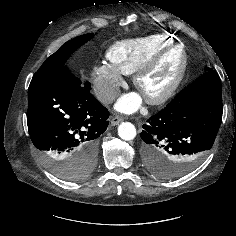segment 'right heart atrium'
<instances>
[{
	"label": "right heart atrium",
	"mask_w": 236,
	"mask_h": 236,
	"mask_svg": "<svg viewBox=\"0 0 236 236\" xmlns=\"http://www.w3.org/2000/svg\"><path fill=\"white\" fill-rule=\"evenodd\" d=\"M91 81L96 97L103 104H110L119 94L123 78L109 63L93 67Z\"/></svg>",
	"instance_id": "d8ad5b80"
}]
</instances>
